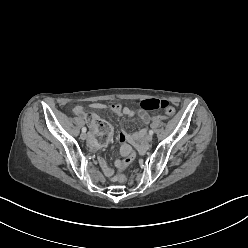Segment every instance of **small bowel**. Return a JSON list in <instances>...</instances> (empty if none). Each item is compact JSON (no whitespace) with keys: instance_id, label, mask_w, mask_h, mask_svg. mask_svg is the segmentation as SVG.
Returning <instances> with one entry per match:
<instances>
[{"instance_id":"c3829d8e","label":"small bowel","mask_w":248,"mask_h":248,"mask_svg":"<svg viewBox=\"0 0 248 248\" xmlns=\"http://www.w3.org/2000/svg\"><path fill=\"white\" fill-rule=\"evenodd\" d=\"M90 108L94 111V112H98L101 110H113L117 115L120 116H127L130 118L135 117L136 115L138 116V119L140 121L141 124L143 125H147L150 122L147 120V117L149 116V114L143 110H138L137 112L133 111L132 109H130L129 107L123 106V107H118V108H112L109 107L105 104L102 103H93L90 105ZM72 112L80 117H87L89 115V113L86 111V109L82 106H75L72 110ZM93 116H97L96 114H93ZM98 117V116H97ZM146 135V129L143 128L141 129L138 133L135 134H127L124 131H121L118 135H117V139L119 142L123 143L121 146V154L123 156L127 155V151L128 149H131V145L134 146H142L143 142L145 141V136ZM90 145L93 147L95 146V141L94 140H90ZM121 162H117L116 165L119 166ZM100 165L103 168V171L105 173L106 176L110 177L113 174V169L108 166L106 164V162L101 159L100 160Z\"/></svg>"}]
</instances>
